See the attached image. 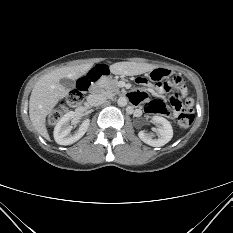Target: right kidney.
<instances>
[{"mask_svg":"<svg viewBox=\"0 0 233 233\" xmlns=\"http://www.w3.org/2000/svg\"><path fill=\"white\" fill-rule=\"evenodd\" d=\"M76 114L73 111L65 114L56 124L54 128V139L60 145H70L78 141L88 130L90 120L86 119L82 122L77 132L70 134L72 126H68L70 120L75 119Z\"/></svg>","mask_w":233,"mask_h":233,"instance_id":"right-kidney-1","label":"right kidney"}]
</instances>
